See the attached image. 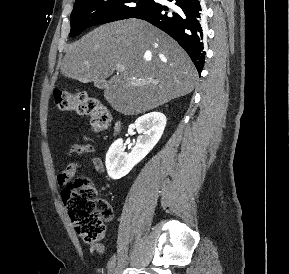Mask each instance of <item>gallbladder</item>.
Instances as JSON below:
<instances>
[{
    "instance_id": "gallbladder-1",
    "label": "gallbladder",
    "mask_w": 289,
    "mask_h": 274,
    "mask_svg": "<svg viewBox=\"0 0 289 274\" xmlns=\"http://www.w3.org/2000/svg\"><path fill=\"white\" fill-rule=\"evenodd\" d=\"M94 86L99 88V89H104L105 88V82L101 81V82L94 83Z\"/></svg>"
}]
</instances>
